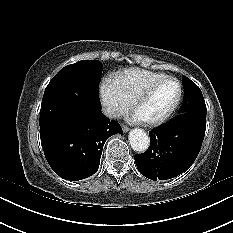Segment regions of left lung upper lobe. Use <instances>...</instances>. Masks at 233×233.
I'll list each match as a JSON object with an SVG mask.
<instances>
[{
	"instance_id": "left-lung-upper-lobe-1",
	"label": "left lung upper lobe",
	"mask_w": 233,
	"mask_h": 233,
	"mask_svg": "<svg viewBox=\"0 0 233 233\" xmlns=\"http://www.w3.org/2000/svg\"><path fill=\"white\" fill-rule=\"evenodd\" d=\"M185 89L184 103L179 113H196L206 115V105L200 88L187 77H183Z\"/></svg>"
}]
</instances>
